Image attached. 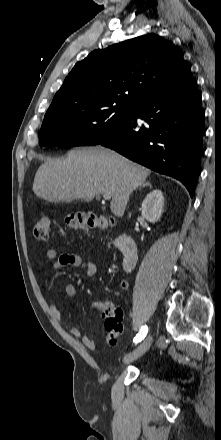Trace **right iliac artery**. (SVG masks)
Here are the masks:
<instances>
[{"mask_svg":"<svg viewBox=\"0 0 221 440\" xmlns=\"http://www.w3.org/2000/svg\"><path fill=\"white\" fill-rule=\"evenodd\" d=\"M148 327L145 325L141 328L140 332L137 334V336L134 339V342H140L144 337L147 335Z\"/></svg>","mask_w":221,"mask_h":440,"instance_id":"1","label":"right iliac artery"}]
</instances>
